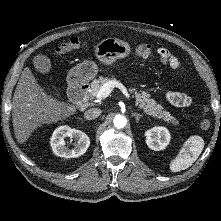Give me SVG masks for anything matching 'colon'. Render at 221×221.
I'll list each match as a JSON object with an SVG mask.
<instances>
[{
    "label": "colon",
    "mask_w": 221,
    "mask_h": 221,
    "mask_svg": "<svg viewBox=\"0 0 221 221\" xmlns=\"http://www.w3.org/2000/svg\"><path fill=\"white\" fill-rule=\"evenodd\" d=\"M88 46L89 44L87 42L81 41L78 38H72L68 42L59 45L55 49V54L57 57H61L71 51L86 48ZM135 53L142 58H147L149 56L157 54L163 62L170 65L173 62V57L169 52L161 50L155 51V49L151 45H138L135 48ZM207 111V107H204V117L200 121V127L203 130H208L211 127V120L206 116Z\"/></svg>",
    "instance_id": "colon-1"
}]
</instances>
